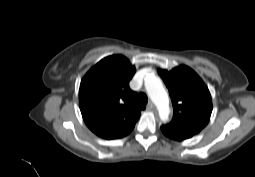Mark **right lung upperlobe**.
Wrapping results in <instances>:
<instances>
[{"instance_id":"cb5924a9","label":"right lung upper lobe","mask_w":255,"mask_h":177,"mask_svg":"<svg viewBox=\"0 0 255 177\" xmlns=\"http://www.w3.org/2000/svg\"><path fill=\"white\" fill-rule=\"evenodd\" d=\"M135 66L122 55L108 56L84 76L79 106L84 122L97 136L117 139L131 131L145 107L129 87Z\"/></svg>"}]
</instances>
